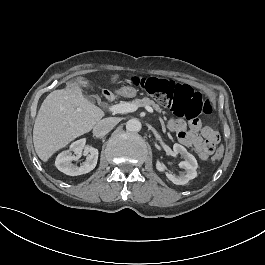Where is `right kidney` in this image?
Instances as JSON below:
<instances>
[{"instance_id": "obj_1", "label": "right kidney", "mask_w": 265, "mask_h": 265, "mask_svg": "<svg viewBox=\"0 0 265 265\" xmlns=\"http://www.w3.org/2000/svg\"><path fill=\"white\" fill-rule=\"evenodd\" d=\"M87 156L84 165L79 167L73 164L76 156ZM99 157V150L92 145H85V139H80L71 144L70 150L58 155L55 166L63 173L70 176L87 174L95 169Z\"/></svg>"}]
</instances>
